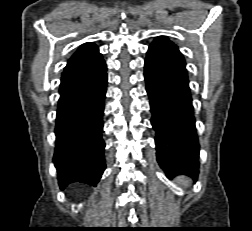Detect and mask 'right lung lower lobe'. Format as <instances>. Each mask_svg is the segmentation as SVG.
Here are the masks:
<instances>
[{
	"mask_svg": "<svg viewBox=\"0 0 252 231\" xmlns=\"http://www.w3.org/2000/svg\"><path fill=\"white\" fill-rule=\"evenodd\" d=\"M106 71L60 93L56 117L54 163L60 189L73 182L96 186L105 169L102 140Z\"/></svg>",
	"mask_w": 252,
	"mask_h": 231,
	"instance_id": "98d812e1",
	"label": "right lung lower lobe"
}]
</instances>
